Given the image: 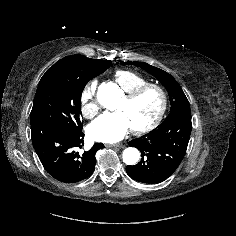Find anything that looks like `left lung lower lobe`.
I'll return each instance as SVG.
<instances>
[{"instance_id":"obj_1","label":"left lung lower lobe","mask_w":236,"mask_h":236,"mask_svg":"<svg viewBox=\"0 0 236 236\" xmlns=\"http://www.w3.org/2000/svg\"><path fill=\"white\" fill-rule=\"evenodd\" d=\"M192 130L191 111H181L149 133L129 142L142 153L141 161L126 167L127 174L142 183H161L182 162Z\"/></svg>"}]
</instances>
